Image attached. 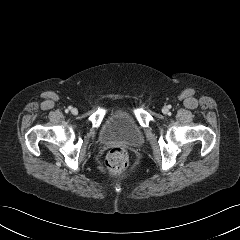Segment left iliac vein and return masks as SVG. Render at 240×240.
Returning a JSON list of instances; mask_svg holds the SVG:
<instances>
[{
	"instance_id": "1",
	"label": "left iliac vein",
	"mask_w": 240,
	"mask_h": 240,
	"mask_svg": "<svg viewBox=\"0 0 240 240\" xmlns=\"http://www.w3.org/2000/svg\"><path fill=\"white\" fill-rule=\"evenodd\" d=\"M162 112L166 114L168 112V109L166 107H163Z\"/></svg>"
}]
</instances>
